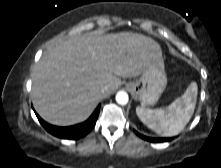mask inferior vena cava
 I'll list each match as a JSON object with an SVG mask.
<instances>
[{
	"instance_id": "inferior-vena-cava-1",
	"label": "inferior vena cava",
	"mask_w": 221,
	"mask_h": 168,
	"mask_svg": "<svg viewBox=\"0 0 221 168\" xmlns=\"http://www.w3.org/2000/svg\"><path fill=\"white\" fill-rule=\"evenodd\" d=\"M107 90V87H104L103 89H102V92H105Z\"/></svg>"
}]
</instances>
